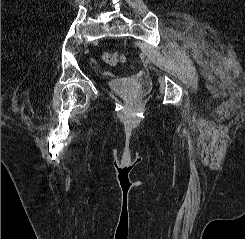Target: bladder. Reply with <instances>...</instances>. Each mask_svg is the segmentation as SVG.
Here are the masks:
<instances>
[{"mask_svg":"<svg viewBox=\"0 0 245 239\" xmlns=\"http://www.w3.org/2000/svg\"><path fill=\"white\" fill-rule=\"evenodd\" d=\"M109 86L116 93L131 97H139L146 90L145 84H138L131 78L110 81Z\"/></svg>","mask_w":245,"mask_h":239,"instance_id":"obj_1","label":"bladder"}]
</instances>
